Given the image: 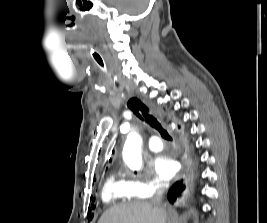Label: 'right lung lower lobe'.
I'll return each mask as SVG.
<instances>
[{"mask_svg":"<svg viewBox=\"0 0 267 223\" xmlns=\"http://www.w3.org/2000/svg\"><path fill=\"white\" fill-rule=\"evenodd\" d=\"M185 182L186 180L182 179L181 181H177L169 190V193L167 195L168 200L173 203L177 197H179L183 190L185 189Z\"/></svg>","mask_w":267,"mask_h":223,"instance_id":"right-lung-lower-lobe-1","label":"right lung lower lobe"}]
</instances>
